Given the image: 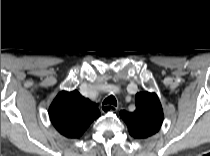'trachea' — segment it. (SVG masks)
<instances>
[{
  "label": "trachea",
  "mask_w": 210,
  "mask_h": 156,
  "mask_svg": "<svg viewBox=\"0 0 210 156\" xmlns=\"http://www.w3.org/2000/svg\"><path fill=\"white\" fill-rule=\"evenodd\" d=\"M103 104H111V105L117 106V101L113 95H110L103 101Z\"/></svg>",
  "instance_id": "1"
}]
</instances>
